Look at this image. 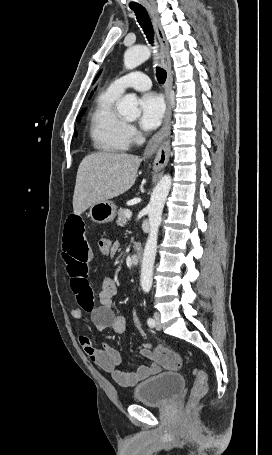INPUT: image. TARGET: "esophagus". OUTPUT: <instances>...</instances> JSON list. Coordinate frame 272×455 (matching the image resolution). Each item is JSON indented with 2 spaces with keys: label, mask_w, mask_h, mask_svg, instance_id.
<instances>
[{
  "label": "esophagus",
  "mask_w": 272,
  "mask_h": 455,
  "mask_svg": "<svg viewBox=\"0 0 272 455\" xmlns=\"http://www.w3.org/2000/svg\"><path fill=\"white\" fill-rule=\"evenodd\" d=\"M147 9L152 17L160 49H161V63L162 66L166 69L167 79L165 82V97L167 103V111L164 119L163 126L161 129L150 139L145 152L144 157L152 163L153 168L162 169L164 168L169 160L170 153V120H171V89L173 83L172 70H171V59L169 54V44L165 37L163 28L161 26L160 20L151 8L150 5H147Z\"/></svg>",
  "instance_id": "esophagus-1"
}]
</instances>
